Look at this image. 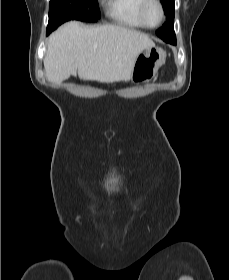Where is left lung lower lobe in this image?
<instances>
[{"label":"left lung lower lobe","mask_w":229,"mask_h":280,"mask_svg":"<svg viewBox=\"0 0 229 280\" xmlns=\"http://www.w3.org/2000/svg\"><path fill=\"white\" fill-rule=\"evenodd\" d=\"M169 43V42H168ZM170 44H176V39L175 40H172L171 42H170Z\"/></svg>","instance_id":"1"}]
</instances>
